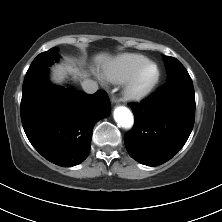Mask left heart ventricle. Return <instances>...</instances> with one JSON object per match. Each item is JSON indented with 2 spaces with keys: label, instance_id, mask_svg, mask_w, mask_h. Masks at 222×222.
<instances>
[{
  "label": "left heart ventricle",
  "instance_id": "b2bd125f",
  "mask_svg": "<svg viewBox=\"0 0 222 222\" xmlns=\"http://www.w3.org/2000/svg\"><path fill=\"white\" fill-rule=\"evenodd\" d=\"M153 74V69L152 68H148L145 70V72L143 73V81L149 79Z\"/></svg>",
  "mask_w": 222,
  "mask_h": 222
}]
</instances>
